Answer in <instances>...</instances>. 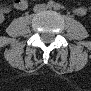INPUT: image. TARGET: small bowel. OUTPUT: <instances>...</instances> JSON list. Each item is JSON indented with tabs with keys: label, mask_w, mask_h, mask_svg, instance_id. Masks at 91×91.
I'll list each match as a JSON object with an SVG mask.
<instances>
[{
	"label": "small bowel",
	"mask_w": 91,
	"mask_h": 91,
	"mask_svg": "<svg viewBox=\"0 0 91 91\" xmlns=\"http://www.w3.org/2000/svg\"><path fill=\"white\" fill-rule=\"evenodd\" d=\"M28 6V3L26 0H15L13 3V7L17 10H25ZM8 11V9L6 10ZM77 14H83L84 9L82 7H79L75 10Z\"/></svg>",
	"instance_id": "c3829d8e"
}]
</instances>
